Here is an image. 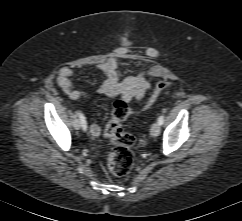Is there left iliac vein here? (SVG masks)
<instances>
[{"label":"left iliac vein","mask_w":242,"mask_h":221,"mask_svg":"<svg viewBox=\"0 0 242 221\" xmlns=\"http://www.w3.org/2000/svg\"><path fill=\"white\" fill-rule=\"evenodd\" d=\"M161 128L158 122L152 124L150 134L153 137H157L160 134Z\"/></svg>","instance_id":"left-iliac-vein-1"}]
</instances>
